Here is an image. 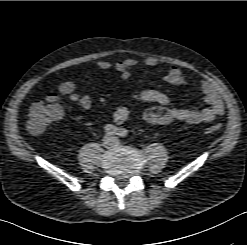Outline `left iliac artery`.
Instances as JSON below:
<instances>
[{
  "label": "left iliac artery",
  "mask_w": 247,
  "mask_h": 245,
  "mask_svg": "<svg viewBox=\"0 0 247 245\" xmlns=\"http://www.w3.org/2000/svg\"><path fill=\"white\" fill-rule=\"evenodd\" d=\"M117 135H119L120 137L124 138L127 136V131L123 128L119 129Z\"/></svg>",
  "instance_id": "1"
}]
</instances>
